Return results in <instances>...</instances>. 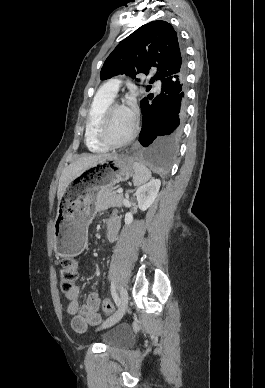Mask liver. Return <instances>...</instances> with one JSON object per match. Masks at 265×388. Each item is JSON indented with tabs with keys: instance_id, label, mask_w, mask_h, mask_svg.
Returning a JSON list of instances; mask_svg holds the SVG:
<instances>
[{
	"instance_id": "6515ba94",
	"label": "liver",
	"mask_w": 265,
	"mask_h": 388,
	"mask_svg": "<svg viewBox=\"0 0 265 388\" xmlns=\"http://www.w3.org/2000/svg\"><path fill=\"white\" fill-rule=\"evenodd\" d=\"M107 156H112V154H96V156H84V158H79L76 162H71L70 166L64 168L61 178L59 180L57 198L61 200L66 192L67 186H69L71 180H74L76 176L82 174L87 168H91L94 164H97L98 160L102 158H107Z\"/></svg>"
}]
</instances>
